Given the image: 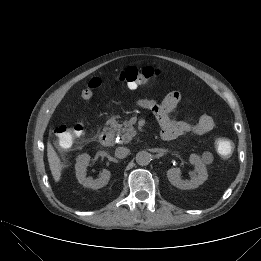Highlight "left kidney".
Wrapping results in <instances>:
<instances>
[{"instance_id":"5707ae66","label":"left kidney","mask_w":261,"mask_h":261,"mask_svg":"<svg viewBox=\"0 0 261 261\" xmlns=\"http://www.w3.org/2000/svg\"><path fill=\"white\" fill-rule=\"evenodd\" d=\"M189 162L195 166L197 175L192 177L190 181H186L180 177V168H171L167 171V177L173 186L183 190L195 189L207 180L208 172L200 157L196 154H191Z\"/></svg>"}]
</instances>
